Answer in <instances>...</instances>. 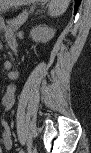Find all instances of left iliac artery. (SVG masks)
<instances>
[{
    "mask_svg": "<svg viewBox=\"0 0 91 153\" xmlns=\"http://www.w3.org/2000/svg\"><path fill=\"white\" fill-rule=\"evenodd\" d=\"M18 153H26V151H23V150H22V151H18Z\"/></svg>",
    "mask_w": 91,
    "mask_h": 153,
    "instance_id": "obj_1",
    "label": "left iliac artery"
}]
</instances>
